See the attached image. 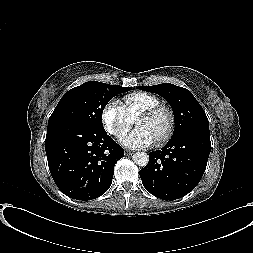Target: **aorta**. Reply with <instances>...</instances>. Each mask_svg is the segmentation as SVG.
I'll return each instance as SVG.
<instances>
[{
  "label": "aorta",
  "mask_w": 253,
  "mask_h": 253,
  "mask_svg": "<svg viewBox=\"0 0 253 253\" xmlns=\"http://www.w3.org/2000/svg\"><path fill=\"white\" fill-rule=\"evenodd\" d=\"M133 161L136 165L140 167H145L148 164L149 156L145 152H136L133 155Z\"/></svg>",
  "instance_id": "1"
}]
</instances>
